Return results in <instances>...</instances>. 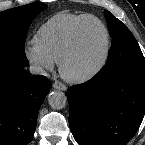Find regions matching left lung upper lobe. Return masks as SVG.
<instances>
[{"instance_id":"1","label":"left lung upper lobe","mask_w":145,"mask_h":145,"mask_svg":"<svg viewBox=\"0 0 145 145\" xmlns=\"http://www.w3.org/2000/svg\"><path fill=\"white\" fill-rule=\"evenodd\" d=\"M104 14L112 37V45L107 63L95 77L104 79L121 71L145 69V58L133 34L109 11L105 10Z\"/></svg>"}]
</instances>
